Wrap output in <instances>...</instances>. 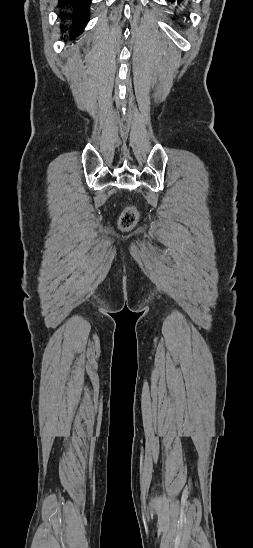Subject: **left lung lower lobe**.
I'll return each instance as SVG.
<instances>
[{
  "label": "left lung lower lobe",
  "mask_w": 253,
  "mask_h": 548,
  "mask_svg": "<svg viewBox=\"0 0 253 548\" xmlns=\"http://www.w3.org/2000/svg\"><path fill=\"white\" fill-rule=\"evenodd\" d=\"M168 2L174 3L178 5L179 8L186 7L189 3V0H167Z\"/></svg>",
  "instance_id": "obj_1"
}]
</instances>
